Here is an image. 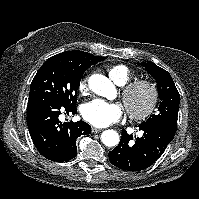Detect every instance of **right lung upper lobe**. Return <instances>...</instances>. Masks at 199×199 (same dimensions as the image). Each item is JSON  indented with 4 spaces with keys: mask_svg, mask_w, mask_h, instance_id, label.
<instances>
[{
    "mask_svg": "<svg viewBox=\"0 0 199 199\" xmlns=\"http://www.w3.org/2000/svg\"><path fill=\"white\" fill-rule=\"evenodd\" d=\"M49 59L78 71L85 72L91 65L104 60L105 57H97L87 52L74 50L59 53Z\"/></svg>",
    "mask_w": 199,
    "mask_h": 199,
    "instance_id": "obj_1",
    "label": "right lung upper lobe"
}]
</instances>
